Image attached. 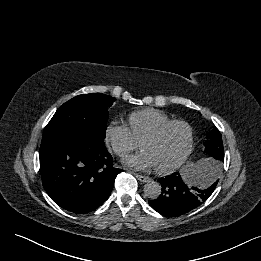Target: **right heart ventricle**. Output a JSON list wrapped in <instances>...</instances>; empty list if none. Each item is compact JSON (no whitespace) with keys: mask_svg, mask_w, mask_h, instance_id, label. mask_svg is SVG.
Here are the masks:
<instances>
[{"mask_svg":"<svg viewBox=\"0 0 261 261\" xmlns=\"http://www.w3.org/2000/svg\"><path fill=\"white\" fill-rule=\"evenodd\" d=\"M172 120V118L154 108H145L131 112L127 116V125L132 135L137 141L155 131L162 124Z\"/></svg>","mask_w":261,"mask_h":261,"instance_id":"e07e8e85","label":"right heart ventricle"}]
</instances>
